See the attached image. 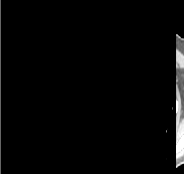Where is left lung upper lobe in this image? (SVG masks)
I'll return each instance as SVG.
<instances>
[{
	"label": "left lung upper lobe",
	"mask_w": 184,
	"mask_h": 174,
	"mask_svg": "<svg viewBox=\"0 0 184 174\" xmlns=\"http://www.w3.org/2000/svg\"><path fill=\"white\" fill-rule=\"evenodd\" d=\"M111 74L115 96L126 106L125 125L163 135L172 114L167 81L135 48L116 52Z\"/></svg>",
	"instance_id": "1"
}]
</instances>
